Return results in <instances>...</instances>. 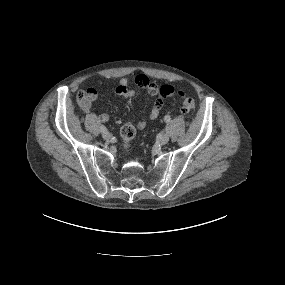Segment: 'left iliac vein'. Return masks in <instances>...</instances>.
Masks as SVG:
<instances>
[{
  "label": "left iliac vein",
  "instance_id": "left-iliac-vein-1",
  "mask_svg": "<svg viewBox=\"0 0 285 285\" xmlns=\"http://www.w3.org/2000/svg\"><path fill=\"white\" fill-rule=\"evenodd\" d=\"M168 141H169V136L167 134H163L159 138V143L162 145L167 144Z\"/></svg>",
  "mask_w": 285,
  "mask_h": 285
}]
</instances>
